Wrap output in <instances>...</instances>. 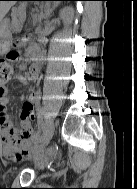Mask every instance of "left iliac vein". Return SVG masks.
<instances>
[{
	"mask_svg": "<svg viewBox=\"0 0 137 189\" xmlns=\"http://www.w3.org/2000/svg\"><path fill=\"white\" fill-rule=\"evenodd\" d=\"M54 128H55V124L53 121H51L49 123L47 129L45 130L43 136L39 140V143L37 144L36 148L33 151L41 150L43 147H45L50 142V140L52 139V136L54 134Z\"/></svg>",
	"mask_w": 137,
	"mask_h": 189,
	"instance_id": "left-iliac-vein-1",
	"label": "left iliac vein"
}]
</instances>
